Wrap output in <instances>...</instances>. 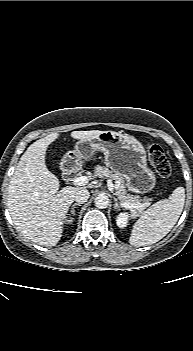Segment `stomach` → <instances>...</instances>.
<instances>
[{"label":"stomach","instance_id":"1","mask_svg":"<svg viewBox=\"0 0 193 351\" xmlns=\"http://www.w3.org/2000/svg\"><path fill=\"white\" fill-rule=\"evenodd\" d=\"M96 150L104 154L106 165L127 180L130 191L138 194L150 192L156 185V175L147 165L142 143L126 133L103 131L91 140H79L75 149L65 154L62 163L80 164Z\"/></svg>","mask_w":193,"mask_h":351}]
</instances>
